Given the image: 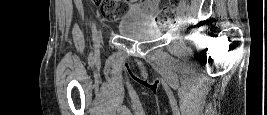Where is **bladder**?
I'll use <instances>...</instances> for the list:
<instances>
[{"label":"bladder","mask_w":267,"mask_h":115,"mask_svg":"<svg viewBox=\"0 0 267 115\" xmlns=\"http://www.w3.org/2000/svg\"><path fill=\"white\" fill-rule=\"evenodd\" d=\"M119 33L127 38L135 40L156 39L161 35V29L152 24L123 23L118 27Z\"/></svg>","instance_id":"bladder-1"}]
</instances>
